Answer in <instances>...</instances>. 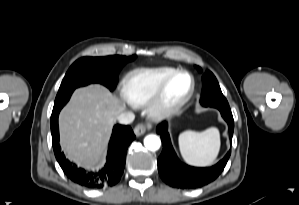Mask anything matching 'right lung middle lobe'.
<instances>
[{
    "instance_id": "1",
    "label": "right lung middle lobe",
    "mask_w": 299,
    "mask_h": 205,
    "mask_svg": "<svg viewBox=\"0 0 299 205\" xmlns=\"http://www.w3.org/2000/svg\"><path fill=\"white\" fill-rule=\"evenodd\" d=\"M136 56H108V57H83L72 64L67 71L59 91L54 107L67 103L73 91L80 86L90 83H100L111 91L115 88L117 75L121 67Z\"/></svg>"
}]
</instances>
